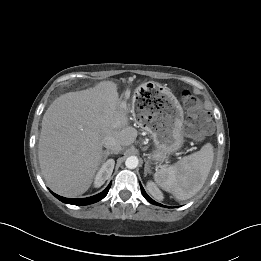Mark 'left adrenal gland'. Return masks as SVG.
I'll use <instances>...</instances> for the list:
<instances>
[{
  "label": "left adrenal gland",
  "instance_id": "left-adrenal-gland-1",
  "mask_svg": "<svg viewBox=\"0 0 261 261\" xmlns=\"http://www.w3.org/2000/svg\"><path fill=\"white\" fill-rule=\"evenodd\" d=\"M148 173L151 174V170H150L149 163L146 162V163H145V167H144V174H145V176H146Z\"/></svg>",
  "mask_w": 261,
  "mask_h": 261
}]
</instances>
